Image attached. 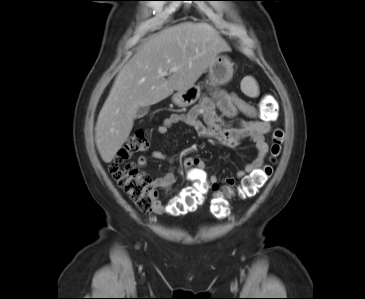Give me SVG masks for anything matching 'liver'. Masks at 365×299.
I'll use <instances>...</instances> for the list:
<instances>
[{"label": "liver", "instance_id": "6515ba94", "mask_svg": "<svg viewBox=\"0 0 365 299\" xmlns=\"http://www.w3.org/2000/svg\"><path fill=\"white\" fill-rule=\"evenodd\" d=\"M229 45L208 23L182 22L154 35L118 73L97 119L95 142L110 163L126 142L139 107L154 105L193 86ZM178 67L166 79L161 72Z\"/></svg>", "mask_w": 365, "mask_h": 299}]
</instances>
